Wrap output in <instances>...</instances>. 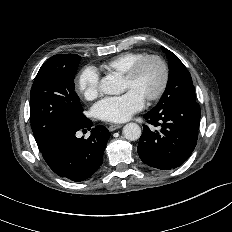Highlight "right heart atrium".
Masks as SVG:
<instances>
[{"label": "right heart atrium", "instance_id": "1", "mask_svg": "<svg viewBox=\"0 0 232 232\" xmlns=\"http://www.w3.org/2000/svg\"><path fill=\"white\" fill-rule=\"evenodd\" d=\"M99 84V72L92 66H87L82 69L76 80L78 92L87 100L97 97L100 91Z\"/></svg>", "mask_w": 232, "mask_h": 232}]
</instances>
